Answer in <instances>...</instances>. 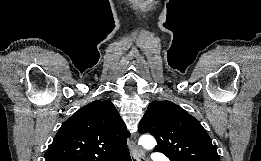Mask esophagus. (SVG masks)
I'll use <instances>...</instances> for the list:
<instances>
[{"label":"esophagus","mask_w":261,"mask_h":161,"mask_svg":"<svg viewBox=\"0 0 261 161\" xmlns=\"http://www.w3.org/2000/svg\"><path fill=\"white\" fill-rule=\"evenodd\" d=\"M133 145H134V150H133V153H132V161H139V159H144L145 158L144 150H142L141 148H138L135 145L134 141H133Z\"/></svg>","instance_id":"obj_1"}]
</instances>
